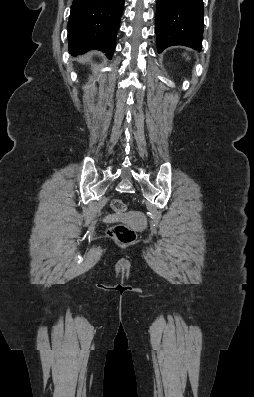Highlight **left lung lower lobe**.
Returning a JSON list of instances; mask_svg holds the SVG:
<instances>
[{
  "instance_id": "left-lung-lower-lobe-1",
  "label": "left lung lower lobe",
  "mask_w": 254,
  "mask_h": 397,
  "mask_svg": "<svg viewBox=\"0 0 254 397\" xmlns=\"http://www.w3.org/2000/svg\"><path fill=\"white\" fill-rule=\"evenodd\" d=\"M203 0H157L156 37L158 52L172 45L201 50Z\"/></svg>"
}]
</instances>
